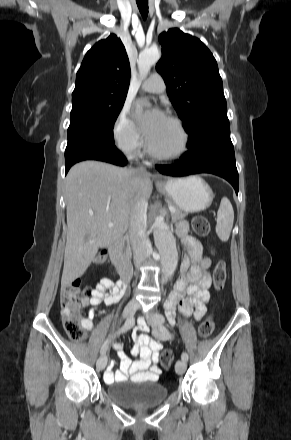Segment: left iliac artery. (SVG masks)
Instances as JSON below:
<instances>
[{"instance_id": "44dca946", "label": "left iliac artery", "mask_w": 291, "mask_h": 440, "mask_svg": "<svg viewBox=\"0 0 291 440\" xmlns=\"http://www.w3.org/2000/svg\"><path fill=\"white\" fill-rule=\"evenodd\" d=\"M161 332L166 339H172V334L169 331H167L166 329H164V328L161 329ZM181 358L184 361H188V354L186 352H183L181 355Z\"/></svg>"}]
</instances>
